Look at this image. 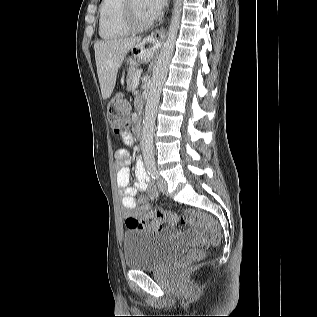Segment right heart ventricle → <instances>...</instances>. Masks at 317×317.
<instances>
[{
  "label": "right heart ventricle",
  "instance_id": "right-heart-ventricle-1",
  "mask_svg": "<svg viewBox=\"0 0 317 317\" xmlns=\"http://www.w3.org/2000/svg\"><path fill=\"white\" fill-rule=\"evenodd\" d=\"M123 0H102L99 9V35L104 40H117L130 34L123 24L121 5Z\"/></svg>",
  "mask_w": 317,
  "mask_h": 317
}]
</instances>
